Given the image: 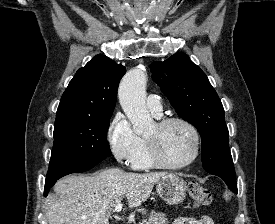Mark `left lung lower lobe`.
Returning a JSON list of instances; mask_svg holds the SVG:
<instances>
[{"label":"left lung lower lobe","mask_w":275,"mask_h":224,"mask_svg":"<svg viewBox=\"0 0 275 224\" xmlns=\"http://www.w3.org/2000/svg\"><path fill=\"white\" fill-rule=\"evenodd\" d=\"M224 181L226 182V184L229 186L231 190H233L234 192H237V184H236L235 178H229Z\"/></svg>","instance_id":"0a47b994"}]
</instances>
